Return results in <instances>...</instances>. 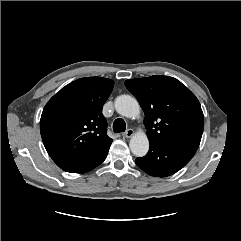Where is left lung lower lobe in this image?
<instances>
[{"mask_svg": "<svg viewBox=\"0 0 241 241\" xmlns=\"http://www.w3.org/2000/svg\"><path fill=\"white\" fill-rule=\"evenodd\" d=\"M146 156L136 158V164L151 176L167 177L183 168L194 156L197 146L149 139Z\"/></svg>", "mask_w": 241, "mask_h": 241, "instance_id": "1", "label": "left lung lower lobe"}]
</instances>
